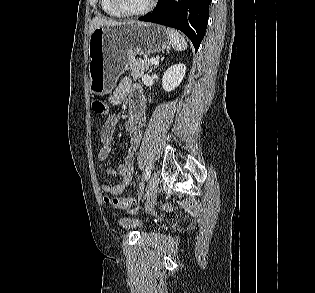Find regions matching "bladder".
I'll return each instance as SVG.
<instances>
[{
    "mask_svg": "<svg viewBox=\"0 0 315 293\" xmlns=\"http://www.w3.org/2000/svg\"><path fill=\"white\" fill-rule=\"evenodd\" d=\"M118 223L125 230H129V229L142 230L144 227V224L141 220L137 218H133L131 216L119 217Z\"/></svg>",
    "mask_w": 315,
    "mask_h": 293,
    "instance_id": "1",
    "label": "bladder"
}]
</instances>
